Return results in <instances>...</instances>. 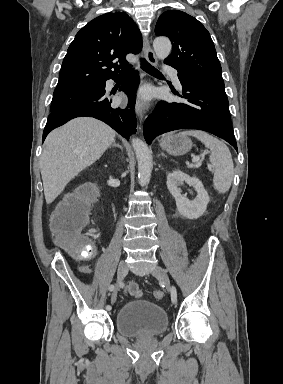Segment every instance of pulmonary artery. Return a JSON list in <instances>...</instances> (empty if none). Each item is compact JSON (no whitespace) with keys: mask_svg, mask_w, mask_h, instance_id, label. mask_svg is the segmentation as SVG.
<instances>
[{"mask_svg":"<svg viewBox=\"0 0 283 384\" xmlns=\"http://www.w3.org/2000/svg\"><path fill=\"white\" fill-rule=\"evenodd\" d=\"M167 69V74L171 76H178L175 68H170L168 65L165 67ZM178 88H181V83H175ZM107 88L112 86V81H107Z\"/></svg>","mask_w":283,"mask_h":384,"instance_id":"1","label":"pulmonary artery"}]
</instances>
